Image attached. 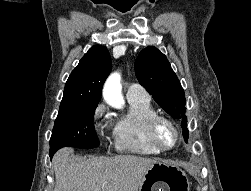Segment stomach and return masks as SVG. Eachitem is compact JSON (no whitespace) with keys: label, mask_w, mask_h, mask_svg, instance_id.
Masks as SVG:
<instances>
[{"label":"stomach","mask_w":251,"mask_h":191,"mask_svg":"<svg viewBox=\"0 0 251 191\" xmlns=\"http://www.w3.org/2000/svg\"><path fill=\"white\" fill-rule=\"evenodd\" d=\"M189 191V181L185 171L177 165L157 161L148 169L139 187V191Z\"/></svg>","instance_id":"obj_1"}]
</instances>
